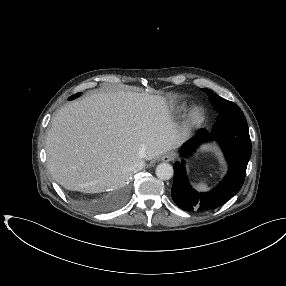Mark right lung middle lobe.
I'll list each match as a JSON object with an SVG mask.
<instances>
[{"label":"right lung middle lobe","mask_w":286,"mask_h":286,"mask_svg":"<svg viewBox=\"0 0 286 286\" xmlns=\"http://www.w3.org/2000/svg\"><path fill=\"white\" fill-rule=\"evenodd\" d=\"M80 95H81V93L74 94L71 97H69L68 100H73V99L79 97Z\"/></svg>","instance_id":"right-lung-middle-lobe-1"}]
</instances>
